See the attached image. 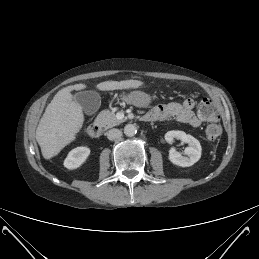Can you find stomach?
<instances>
[{
	"instance_id": "1",
	"label": "stomach",
	"mask_w": 259,
	"mask_h": 259,
	"mask_svg": "<svg viewBox=\"0 0 259 259\" xmlns=\"http://www.w3.org/2000/svg\"><path fill=\"white\" fill-rule=\"evenodd\" d=\"M122 100L138 107H147L151 102V97L142 91H133L129 94H123Z\"/></svg>"
}]
</instances>
